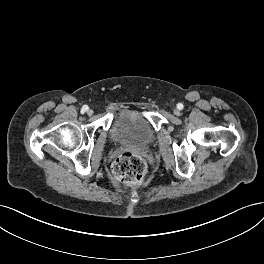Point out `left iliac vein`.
Segmentation results:
<instances>
[{
	"label": "left iliac vein",
	"mask_w": 264,
	"mask_h": 264,
	"mask_svg": "<svg viewBox=\"0 0 264 264\" xmlns=\"http://www.w3.org/2000/svg\"><path fill=\"white\" fill-rule=\"evenodd\" d=\"M174 114L178 116V115H180V111L178 109H175Z\"/></svg>",
	"instance_id": "4c4485c4"
}]
</instances>
